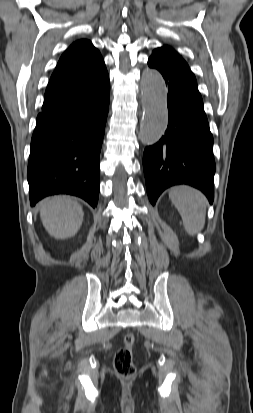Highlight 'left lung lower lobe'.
Masks as SVG:
<instances>
[{"instance_id":"0a47b994","label":"left lung lower lobe","mask_w":253,"mask_h":413,"mask_svg":"<svg viewBox=\"0 0 253 413\" xmlns=\"http://www.w3.org/2000/svg\"><path fill=\"white\" fill-rule=\"evenodd\" d=\"M168 87V127L165 135L143 154V168L150 202L176 184L200 189L212 203L215 161L213 136L194 74L189 68L150 57Z\"/></svg>"}]
</instances>
